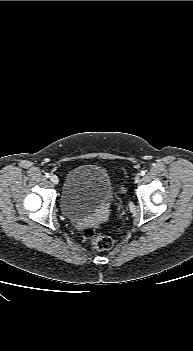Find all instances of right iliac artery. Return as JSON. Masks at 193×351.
<instances>
[{
	"label": "right iliac artery",
	"instance_id": "right-iliac-artery-1",
	"mask_svg": "<svg viewBox=\"0 0 193 351\" xmlns=\"http://www.w3.org/2000/svg\"><path fill=\"white\" fill-rule=\"evenodd\" d=\"M45 177L49 178V177H50V174H49V173H46V174H45Z\"/></svg>",
	"mask_w": 193,
	"mask_h": 351
}]
</instances>
